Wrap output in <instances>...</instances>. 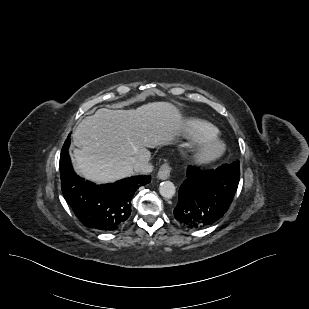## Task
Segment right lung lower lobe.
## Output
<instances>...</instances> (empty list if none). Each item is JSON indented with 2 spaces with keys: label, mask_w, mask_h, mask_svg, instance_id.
<instances>
[{
  "label": "right lung lower lobe",
  "mask_w": 309,
  "mask_h": 309,
  "mask_svg": "<svg viewBox=\"0 0 309 309\" xmlns=\"http://www.w3.org/2000/svg\"><path fill=\"white\" fill-rule=\"evenodd\" d=\"M69 145L70 134L63 145L59 165L64 198L84 226L100 231L117 230L130 216L135 191L150 183L151 176H135L113 184L95 185L73 171Z\"/></svg>",
  "instance_id": "right-lung-lower-lobe-1"
}]
</instances>
